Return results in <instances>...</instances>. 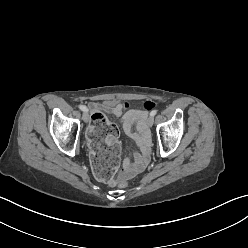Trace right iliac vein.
Here are the masks:
<instances>
[{"instance_id": "63e3f726", "label": "right iliac vein", "mask_w": 248, "mask_h": 248, "mask_svg": "<svg viewBox=\"0 0 248 248\" xmlns=\"http://www.w3.org/2000/svg\"><path fill=\"white\" fill-rule=\"evenodd\" d=\"M82 119L85 123L89 121V114L87 113V111L83 113Z\"/></svg>"}]
</instances>
